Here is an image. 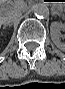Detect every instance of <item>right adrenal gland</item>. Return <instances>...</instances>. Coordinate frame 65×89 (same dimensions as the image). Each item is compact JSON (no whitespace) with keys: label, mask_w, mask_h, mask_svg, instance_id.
Listing matches in <instances>:
<instances>
[{"label":"right adrenal gland","mask_w":65,"mask_h":89,"mask_svg":"<svg viewBox=\"0 0 65 89\" xmlns=\"http://www.w3.org/2000/svg\"><path fill=\"white\" fill-rule=\"evenodd\" d=\"M7 26H9V28H11L12 27V24L4 25L2 28L5 29Z\"/></svg>","instance_id":"obj_1"}]
</instances>
